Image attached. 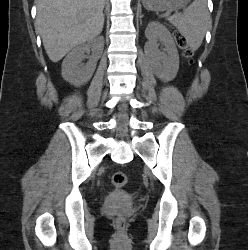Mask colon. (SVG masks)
<instances>
[{
    "mask_svg": "<svg viewBox=\"0 0 248 250\" xmlns=\"http://www.w3.org/2000/svg\"><path fill=\"white\" fill-rule=\"evenodd\" d=\"M174 38H175L177 46L183 51V55L187 59L190 60L192 57L193 51L189 47L186 38L179 32L174 33ZM111 182L113 186L115 187H118V188L124 187L128 182V175L123 171H117L112 174ZM117 223L121 225L123 223V218L119 217L117 219Z\"/></svg>",
    "mask_w": 248,
    "mask_h": 250,
    "instance_id": "1",
    "label": "colon"
}]
</instances>
